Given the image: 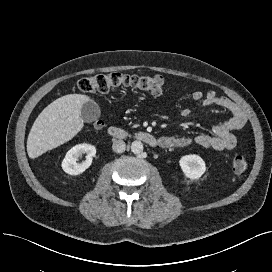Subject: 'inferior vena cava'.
<instances>
[{
	"label": "inferior vena cava",
	"mask_w": 272,
	"mask_h": 272,
	"mask_svg": "<svg viewBox=\"0 0 272 272\" xmlns=\"http://www.w3.org/2000/svg\"><path fill=\"white\" fill-rule=\"evenodd\" d=\"M112 149L116 153H123L126 149V144L123 140H116L113 142Z\"/></svg>",
	"instance_id": "1"
}]
</instances>
